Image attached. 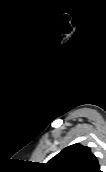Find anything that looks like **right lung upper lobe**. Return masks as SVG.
<instances>
[{"label":"right lung upper lobe","instance_id":"right-lung-upper-lobe-1","mask_svg":"<svg viewBox=\"0 0 106 172\" xmlns=\"http://www.w3.org/2000/svg\"><path fill=\"white\" fill-rule=\"evenodd\" d=\"M49 172H101L89 147L73 144L54 156L46 167Z\"/></svg>","mask_w":106,"mask_h":172}]
</instances>
